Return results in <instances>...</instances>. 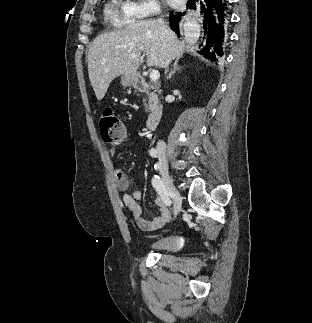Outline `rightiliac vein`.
<instances>
[{"mask_svg": "<svg viewBox=\"0 0 312 323\" xmlns=\"http://www.w3.org/2000/svg\"><path fill=\"white\" fill-rule=\"evenodd\" d=\"M160 174L162 176L163 184L167 190L168 195L174 201V215L177 216L181 210L182 197L172 182V179L170 177V174H169L166 164H164L160 167Z\"/></svg>", "mask_w": 312, "mask_h": 323, "instance_id": "right-iliac-vein-1", "label": "right iliac vein"}]
</instances>
